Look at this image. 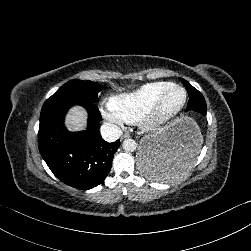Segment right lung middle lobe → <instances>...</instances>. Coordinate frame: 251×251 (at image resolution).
<instances>
[{"label":"right lung middle lobe","mask_w":251,"mask_h":251,"mask_svg":"<svg viewBox=\"0 0 251 251\" xmlns=\"http://www.w3.org/2000/svg\"><path fill=\"white\" fill-rule=\"evenodd\" d=\"M102 88L101 85L92 81L70 80L46 101L74 99L95 103L98 100L97 94Z\"/></svg>","instance_id":"1"}]
</instances>
